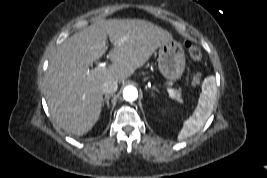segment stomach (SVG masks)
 <instances>
[{
	"label": "stomach",
	"mask_w": 267,
	"mask_h": 178,
	"mask_svg": "<svg viewBox=\"0 0 267 178\" xmlns=\"http://www.w3.org/2000/svg\"><path fill=\"white\" fill-rule=\"evenodd\" d=\"M185 53L182 45L170 40L163 43L158 51V67L168 80H178L185 70Z\"/></svg>",
	"instance_id": "obj_1"
}]
</instances>
